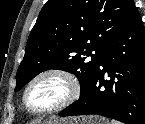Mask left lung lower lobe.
Wrapping results in <instances>:
<instances>
[{
  "instance_id": "0a47b994",
  "label": "left lung lower lobe",
  "mask_w": 145,
  "mask_h": 124,
  "mask_svg": "<svg viewBox=\"0 0 145 124\" xmlns=\"http://www.w3.org/2000/svg\"><path fill=\"white\" fill-rule=\"evenodd\" d=\"M100 66L87 91L59 115L96 114L125 124H145V28L136 7ZM105 74L110 80L104 79Z\"/></svg>"
}]
</instances>
